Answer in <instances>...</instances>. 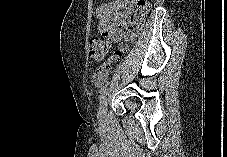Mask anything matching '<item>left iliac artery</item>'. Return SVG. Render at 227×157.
<instances>
[{
  "mask_svg": "<svg viewBox=\"0 0 227 157\" xmlns=\"http://www.w3.org/2000/svg\"><path fill=\"white\" fill-rule=\"evenodd\" d=\"M108 88L107 87H104L101 92H100V97H99V100H100V104L101 102L105 99V96L107 95L108 93Z\"/></svg>",
  "mask_w": 227,
  "mask_h": 157,
  "instance_id": "44dca946",
  "label": "left iliac artery"
}]
</instances>
